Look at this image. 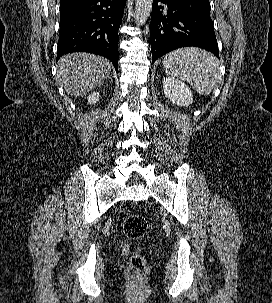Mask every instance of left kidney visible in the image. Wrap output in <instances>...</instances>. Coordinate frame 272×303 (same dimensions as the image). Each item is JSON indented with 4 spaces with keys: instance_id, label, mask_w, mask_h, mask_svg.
Segmentation results:
<instances>
[{
    "instance_id": "obj_1",
    "label": "left kidney",
    "mask_w": 272,
    "mask_h": 303,
    "mask_svg": "<svg viewBox=\"0 0 272 303\" xmlns=\"http://www.w3.org/2000/svg\"><path fill=\"white\" fill-rule=\"evenodd\" d=\"M165 96L178 106H189L193 103V96L190 88L182 81L174 77L163 78Z\"/></svg>"
}]
</instances>
